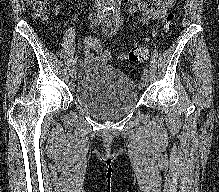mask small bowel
<instances>
[{
  "mask_svg": "<svg viewBox=\"0 0 219 192\" xmlns=\"http://www.w3.org/2000/svg\"><path fill=\"white\" fill-rule=\"evenodd\" d=\"M132 6L129 8L130 14L140 13L142 15V23L146 24L151 20L161 19L167 15L169 9L174 6V0H151L150 6L144 0H130ZM61 12L60 6L55 9V14ZM106 36H113L114 31H111L108 26L103 27ZM84 63L89 64L92 62L105 61L102 57L103 51L100 44V39L96 37H89L84 39ZM124 59V55H120Z\"/></svg>",
  "mask_w": 219,
  "mask_h": 192,
  "instance_id": "c3829d8e",
  "label": "small bowel"
}]
</instances>
